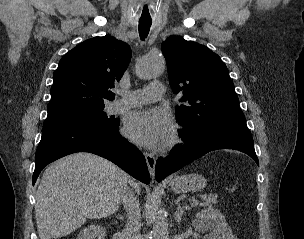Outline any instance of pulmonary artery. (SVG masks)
Here are the masks:
<instances>
[{
  "label": "pulmonary artery",
  "instance_id": "e3ab8cb5",
  "mask_svg": "<svg viewBox=\"0 0 304 239\" xmlns=\"http://www.w3.org/2000/svg\"><path fill=\"white\" fill-rule=\"evenodd\" d=\"M121 95V99L111 104L110 109L112 112H121L135 106L160 100L164 95V85L160 82H155L143 89L122 92Z\"/></svg>",
  "mask_w": 304,
  "mask_h": 239
}]
</instances>
